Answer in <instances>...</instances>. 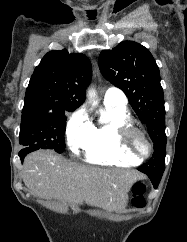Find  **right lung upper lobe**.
Masks as SVG:
<instances>
[{
    "label": "right lung upper lobe",
    "mask_w": 187,
    "mask_h": 242,
    "mask_svg": "<svg viewBox=\"0 0 187 242\" xmlns=\"http://www.w3.org/2000/svg\"><path fill=\"white\" fill-rule=\"evenodd\" d=\"M91 76V63L83 54L48 52L30 79L22 111H74L85 100Z\"/></svg>",
    "instance_id": "1"
}]
</instances>
